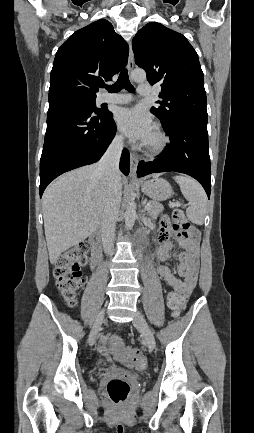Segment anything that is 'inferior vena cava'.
I'll return each mask as SVG.
<instances>
[{
	"label": "inferior vena cava",
	"mask_w": 254,
	"mask_h": 433,
	"mask_svg": "<svg viewBox=\"0 0 254 433\" xmlns=\"http://www.w3.org/2000/svg\"><path fill=\"white\" fill-rule=\"evenodd\" d=\"M123 136H116L98 163L107 183V200L102 214V244L106 254L111 255L114 247L116 220L121 203L119 161L123 150Z\"/></svg>",
	"instance_id": "1"
}]
</instances>
